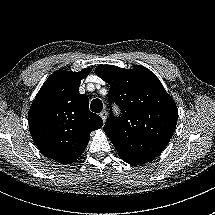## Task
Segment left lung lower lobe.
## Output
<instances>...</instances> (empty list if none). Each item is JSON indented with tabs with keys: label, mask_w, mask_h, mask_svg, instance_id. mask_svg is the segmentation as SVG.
<instances>
[{
	"label": "left lung lower lobe",
	"mask_w": 215,
	"mask_h": 215,
	"mask_svg": "<svg viewBox=\"0 0 215 215\" xmlns=\"http://www.w3.org/2000/svg\"><path fill=\"white\" fill-rule=\"evenodd\" d=\"M125 162L131 164V165H138V164H143V163H146V162H149V161H146V160H138V159H126V158H123L121 157Z\"/></svg>",
	"instance_id": "1"
}]
</instances>
